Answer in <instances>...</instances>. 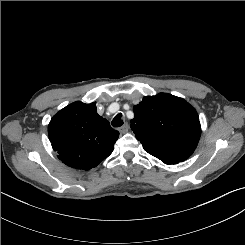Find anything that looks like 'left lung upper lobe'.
Returning <instances> with one entry per match:
<instances>
[{
  "label": "left lung upper lobe",
  "mask_w": 245,
  "mask_h": 245,
  "mask_svg": "<svg viewBox=\"0 0 245 245\" xmlns=\"http://www.w3.org/2000/svg\"><path fill=\"white\" fill-rule=\"evenodd\" d=\"M131 129L143 147L189 158L201 135L199 116L184 99L160 93L146 96L133 107Z\"/></svg>",
  "instance_id": "obj_1"
}]
</instances>
